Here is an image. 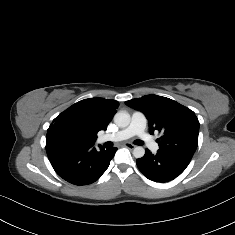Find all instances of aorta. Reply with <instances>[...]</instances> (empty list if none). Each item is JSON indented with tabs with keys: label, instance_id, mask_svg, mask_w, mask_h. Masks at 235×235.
Segmentation results:
<instances>
[{
	"label": "aorta",
	"instance_id": "1",
	"mask_svg": "<svg viewBox=\"0 0 235 235\" xmlns=\"http://www.w3.org/2000/svg\"><path fill=\"white\" fill-rule=\"evenodd\" d=\"M131 117L127 111H119L114 116V123L118 127H127L130 124ZM145 154V149L142 146H137L133 149V156L135 158H141Z\"/></svg>",
	"mask_w": 235,
	"mask_h": 235
}]
</instances>
